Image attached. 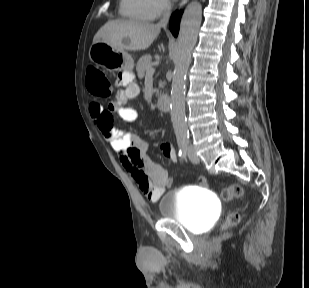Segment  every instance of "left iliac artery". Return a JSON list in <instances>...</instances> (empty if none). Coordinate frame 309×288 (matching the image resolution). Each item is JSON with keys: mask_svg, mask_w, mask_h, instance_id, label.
<instances>
[{"mask_svg": "<svg viewBox=\"0 0 309 288\" xmlns=\"http://www.w3.org/2000/svg\"><path fill=\"white\" fill-rule=\"evenodd\" d=\"M187 145H188V140H185V144H184V147H183V158L186 157Z\"/></svg>", "mask_w": 309, "mask_h": 288, "instance_id": "44dca946", "label": "left iliac artery"}]
</instances>
